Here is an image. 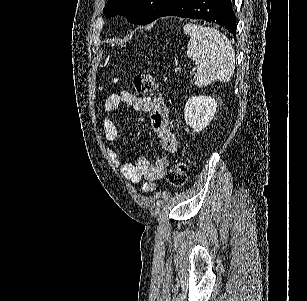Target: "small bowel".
<instances>
[{"label":"small bowel","mask_w":307,"mask_h":301,"mask_svg":"<svg viewBox=\"0 0 307 301\" xmlns=\"http://www.w3.org/2000/svg\"><path fill=\"white\" fill-rule=\"evenodd\" d=\"M122 104L149 113L151 126L159 138L162 149L168 153L176 152L177 140L170 129L168 110L162 98H139L129 91H120L110 95L105 100L104 108L108 112H114ZM102 130L107 143L114 144L117 142L119 132L112 120H103ZM107 153L112 162L120 169L123 176L132 183H137L142 178L149 181L161 179L169 164L167 158H161L152 163L143 155L136 156L133 162H122L120 152L110 146L107 147Z\"/></svg>","instance_id":"c3829d8e"}]
</instances>
